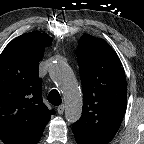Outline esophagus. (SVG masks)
I'll return each mask as SVG.
<instances>
[{
    "label": "esophagus",
    "mask_w": 144,
    "mask_h": 144,
    "mask_svg": "<svg viewBox=\"0 0 144 144\" xmlns=\"http://www.w3.org/2000/svg\"><path fill=\"white\" fill-rule=\"evenodd\" d=\"M64 110H65V106L63 104L58 106V108H57V112L60 115L63 114Z\"/></svg>",
    "instance_id": "obj_1"
}]
</instances>
